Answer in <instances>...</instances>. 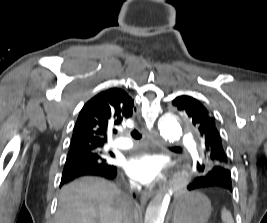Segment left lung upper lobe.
<instances>
[{"mask_svg":"<svg viewBox=\"0 0 267 223\" xmlns=\"http://www.w3.org/2000/svg\"><path fill=\"white\" fill-rule=\"evenodd\" d=\"M172 104L186 119L202 148L200 160L194 163L196 172L223 171L230 173L229 160L213 114L198 100L190 96H178Z\"/></svg>","mask_w":267,"mask_h":223,"instance_id":"obj_1","label":"left lung upper lobe"}]
</instances>
